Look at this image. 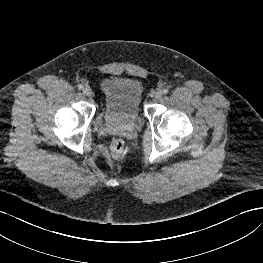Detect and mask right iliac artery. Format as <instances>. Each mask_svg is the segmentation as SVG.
Wrapping results in <instances>:
<instances>
[{
    "instance_id": "right-iliac-artery-1",
    "label": "right iliac artery",
    "mask_w": 263,
    "mask_h": 263,
    "mask_svg": "<svg viewBox=\"0 0 263 263\" xmlns=\"http://www.w3.org/2000/svg\"><path fill=\"white\" fill-rule=\"evenodd\" d=\"M77 87H78L79 90L83 89V85L82 84H79Z\"/></svg>"
}]
</instances>
